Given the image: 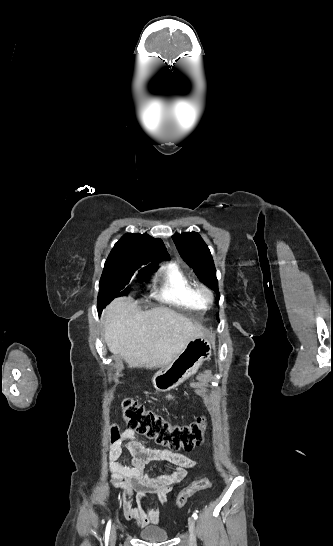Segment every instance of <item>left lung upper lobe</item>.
<instances>
[{
    "mask_svg": "<svg viewBox=\"0 0 333 546\" xmlns=\"http://www.w3.org/2000/svg\"><path fill=\"white\" fill-rule=\"evenodd\" d=\"M172 239L182 259L194 270L200 281L217 291L218 281L213 258L201 236L197 232L176 233Z\"/></svg>",
    "mask_w": 333,
    "mask_h": 546,
    "instance_id": "left-lung-upper-lobe-1",
    "label": "left lung upper lobe"
}]
</instances>
